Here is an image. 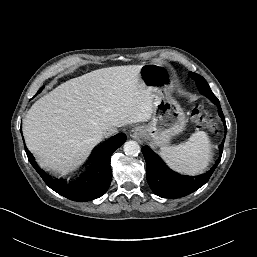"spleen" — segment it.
<instances>
[{"label":"spleen","mask_w":257,"mask_h":257,"mask_svg":"<svg viewBox=\"0 0 257 257\" xmlns=\"http://www.w3.org/2000/svg\"><path fill=\"white\" fill-rule=\"evenodd\" d=\"M160 154L171 169L183 174L197 175L209 164L211 142L206 132L198 131L184 143L162 146Z\"/></svg>","instance_id":"3e777b00"}]
</instances>
